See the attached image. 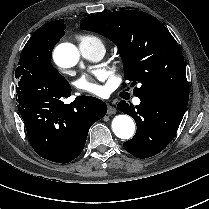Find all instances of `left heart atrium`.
I'll use <instances>...</instances> for the list:
<instances>
[{
  "mask_svg": "<svg viewBox=\"0 0 209 209\" xmlns=\"http://www.w3.org/2000/svg\"><path fill=\"white\" fill-rule=\"evenodd\" d=\"M77 88L87 94H91L94 96H102L103 94V88L98 83V81L95 78H92L90 76H84L80 78L77 83Z\"/></svg>",
  "mask_w": 209,
  "mask_h": 209,
  "instance_id": "obj_1",
  "label": "left heart atrium"
}]
</instances>
